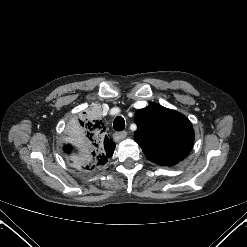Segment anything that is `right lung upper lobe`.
I'll return each instance as SVG.
<instances>
[{
    "instance_id": "1",
    "label": "right lung upper lobe",
    "mask_w": 247,
    "mask_h": 247,
    "mask_svg": "<svg viewBox=\"0 0 247 247\" xmlns=\"http://www.w3.org/2000/svg\"><path fill=\"white\" fill-rule=\"evenodd\" d=\"M81 124V140L77 147V160L86 169L104 165L113 155L115 144L105 135V127L101 120L88 119Z\"/></svg>"
}]
</instances>
